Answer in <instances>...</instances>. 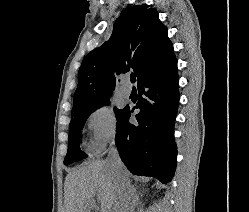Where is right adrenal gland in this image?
I'll list each match as a JSON object with an SVG mask.
<instances>
[{
  "label": "right adrenal gland",
  "instance_id": "1",
  "mask_svg": "<svg viewBox=\"0 0 249 212\" xmlns=\"http://www.w3.org/2000/svg\"><path fill=\"white\" fill-rule=\"evenodd\" d=\"M132 194H133V210H134V208H137V206L139 204L141 194H139V192H137V188H134V186H132Z\"/></svg>",
  "mask_w": 249,
  "mask_h": 212
}]
</instances>
